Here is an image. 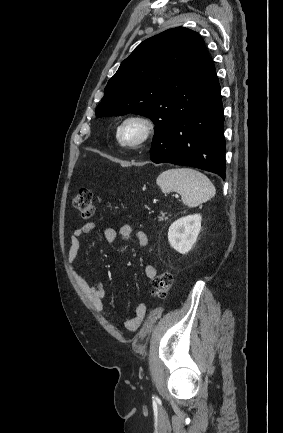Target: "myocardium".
Listing matches in <instances>:
<instances>
[{"mask_svg":"<svg viewBox=\"0 0 283 433\" xmlns=\"http://www.w3.org/2000/svg\"><path fill=\"white\" fill-rule=\"evenodd\" d=\"M131 122L140 123L143 127V133L137 139L125 141L122 139L121 133L124 126ZM156 131L157 124L152 117L142 113H134L127 115L120 121L116 128V140L124 148L137 149L151 142L156 135Z\"/></svg>","mask_w":283,"mask_h":433,"instance_id":"myocardium-1","label":"myocardium"}]
</instances>
